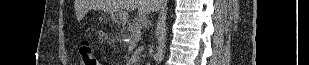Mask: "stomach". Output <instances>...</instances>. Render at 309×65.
<instances>
[{
  "label": "stomach",
  "instance_id": "stomach-1",
  "mask_svg": "<svg viewBox=\"0 0 309 65\" xmlns=\"http://www.w3.org/2000/svg\"><path fill=\"white\" fill-rule=\"evenodd\" d=\"M111 17L116 23L123 25L127 22L128 16L125 11H113Z\"/></svg>",
  "mask_w": 309,
  "mask_h": 65
}]
</instances>
